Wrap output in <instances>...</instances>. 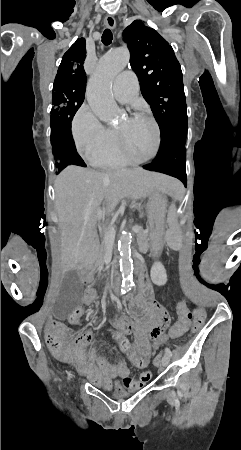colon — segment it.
Here are the masks:
<instances>
[{
	"instance_id": "obj_1",
	"label": "colon",
	"mask_w": 241,
	"mask_h": 450,
	"mask_svg": "<svg viewBox=\"0 0 241 450\" xmlns=\"http://www.w3.org/2000/svg\"><path fill=\"white\" fill-rule=\"evenodd\" d=\"M176 312L177 314H180V319L179 321H173L172 324H170L168 326V331L169 333H175L177 330H184L185 326H189L190 321L192 319V315H193V319H194V326H193V331H197L203 324L205 321V316H204V310L200 307L197 306L195 308V313H192L189 311L187 304L185 302H180L177 307H176ZM83 314V310L81 308H75L73 309V311L70 314V324L73 326L75 323H79L82 320L81 315ZM109 338L110 339H114L117 346L118 347H123L125 342L122 339L121 336H117L115 332H110L109 333ZM164 336V335H163ZM124 352L125 353H130L131 352V347L130 346H125L124 347ZM163 351H158V353L156 354V356L154 357V362H159L161 357L163 356ZM131 355V354H130ZM144 363V364H143ZM148 363L147 359H142L141 357H131L129 359V364L131 366H141L142 369L146 368V365Z\"/></svg>"
}]
</instances>
